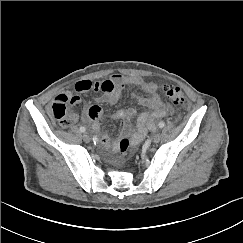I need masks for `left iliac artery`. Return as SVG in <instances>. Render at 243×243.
Masks as SVG:
<instances>
[{"label": "left iliac artery", "instance_id": "left-iliac-artery-1", "mask_svg": "<svg viewBox=\"0 0 243 243\" xmlns=\"http://www.w3.org/2000/svg\"><path fill=\"white\" fill-rule=\"evenodd\" d=\"M158 126H159V128H163L165 126V123L161 121V122H159Z\"/></svg>", "mask_w": 243, "mask_h": 243}]
</instances>
